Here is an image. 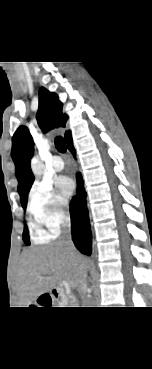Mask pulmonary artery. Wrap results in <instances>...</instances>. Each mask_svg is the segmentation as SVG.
<instances>
[{"label":"pulmonary artery","mask_w":152,"mask_h":369,"mask_svg":"<svg viewBox=\"0 0 152 369\" xmlns=\"http://www.w3.org/2000/svg\"><path fill=\"white\" fill-rule=\"evenodd\" d=\"M51 165L54 171L60 172L64 169V162L60 156H53L51 160Z\"/></svg>","instance_id":"1"}]
</instances>
